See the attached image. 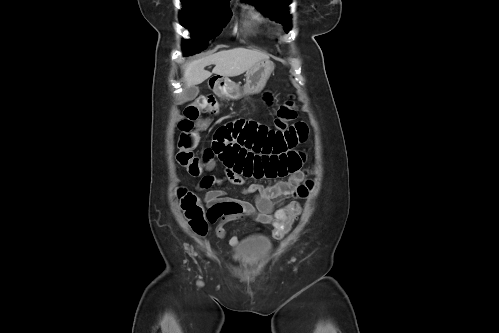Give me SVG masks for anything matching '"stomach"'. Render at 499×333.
Masks as SVG:
<instances>
[{"label": "stomach", "instance_id": "stomach-1", "mask_svg": "<svg viewBox=\"0 0 499 333\" xmlns=\"http://www.w3.org/2000/svg\"><path fill=\"white\" fill-rule=\"evenodd\" d=\"M273 70L272 61L262 60L247 71L243 89L228 78L222 77L217 79L213 90L218 97L228 100H237L245 95L258 94L264 89Z\"/></svg>", "mask_w": 499, "mask_h": 333}]
</instances>
